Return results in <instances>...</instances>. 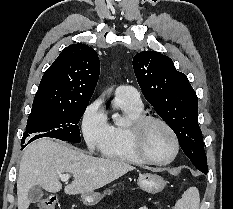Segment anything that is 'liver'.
<instances>
[{
    "mask_svg": "<svg viewBox=\"0 0 233 209\" xmlns=\"http://www.w3.org/2000/svg\"><path fill=\"white\" fill-rule=\"evenodd\" d=\"M133 170L135 167L125 162L93 157L65 143L39 139L25 149L20 161L17 207L28 209V192L34 186L51 193L59 192L62 189L59 178L63 173L74 177L64 192L76 195L94 192Z\"/></svg>",
    "mask_w": 233,
    "mask_h": 209,
    "instance_id": "obj_1",
    "label": "liver"
}]
</instances>
